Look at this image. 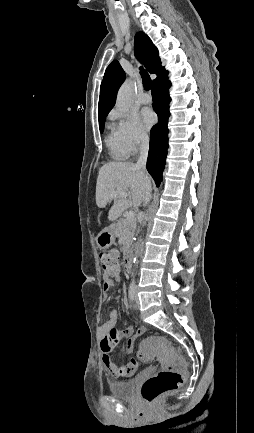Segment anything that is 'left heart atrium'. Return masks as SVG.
<instances>
[{
    "label": "left heart atrium",
    "instance_id": "1",
    "mask_svg": "<svg viewBox=\"0 0 254 433\" xmlns=\"http://www.w3.org/2000/svg\"><path fill=\"white\" fill-rule=\"evenodd\" d=\"M142 119L147 128H150L155 123V115L150 110H144L142 112Z\"/></svg>",
    "mask_w": 254,
    "mask_h": 433
}]
</instances>
